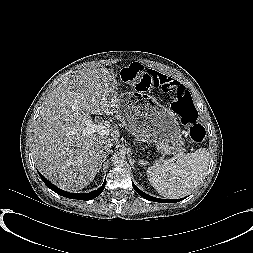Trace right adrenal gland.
Segmentation results:
<instances>
[{
  "label": "right adrenal gland",
  "instance_id": "obj_1",
  "mask_svg": "<svg viewBox=\"0 0 253 253\" xmlns=\"http://www.w3.org/2000/svg\"><path fill=\"white\" fill-rule=\"evenodd\" d=\"M111 151H107L103 154V159L100 161L99 163V167H98V172L100 171L102 164L105 162V160L107 159V156L110 154Z\"/></svg>",
  "mask_w": 253,
  "mask_h": 253
}]
</instances>
